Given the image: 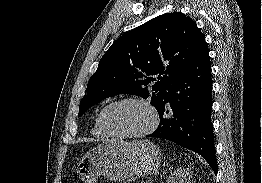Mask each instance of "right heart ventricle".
<instances>
[{"label":"right heart ventricle","instance_id":"right-heart-ventricle-1","mask_svg":"<svg viewBox=\"0 0 262 183\" xmlns=\"http://www.w3.org/2000/svg\"><path fill=\"white\" fill-rule=\"evenodd\" d=\"M98 118H99V115L96 117V119L94 121L91 133L96 138L105 139L108 136L101 130L99 123H98Z\"/></svg>","mask_w":262,"mask_h":183}]
</instances>
